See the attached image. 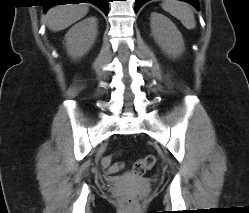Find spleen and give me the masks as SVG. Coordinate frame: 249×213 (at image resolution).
Returning a JSON list of instances; mask_svg holds the SVG:
<instances>
[{
	"mask_svg": "<svg viewBox=\"0 0 249 213\" xmlns=\"http://www.w3.org/2000/svg\"><path fill=\"white\" fill-rule=\"evenodd\" d=\"M162 8L176 17L189 30L196 27L194 14L189 5L178 0H163Z\"/></svg>",
	"mask_w": 249,
	"mask_h": 213,
	"instance_id": "3e777b00",
	"label": "spleen"
}]
</instances>
